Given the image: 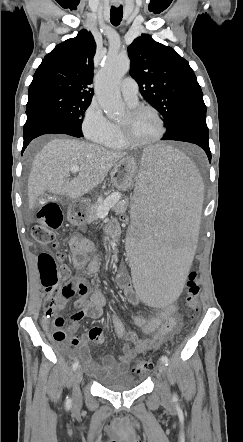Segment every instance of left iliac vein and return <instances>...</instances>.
<instances>
[{
	"mask_svg": "<svg viewBox=\"0 0 243 442\" xmlns=\"http://www.w3.org/2000/svg\"><path fill=\"white\" fill-rule=\"evenodd\" d=\"M157 368H158V371H159L162 375L167 376V369H166V367H165L164 362H162V361H158V363H157ZM170 398H171V395H170V389H169L168 384L165 383V384H164V387H163V389H162V399H163L164 401H169Z\"/></svg>",
	"mask_w": 243,
	"mask_h": 442,
	"instance_id": "4c4485c4",
	"label": "left iliac vein"
}]
</instances>
